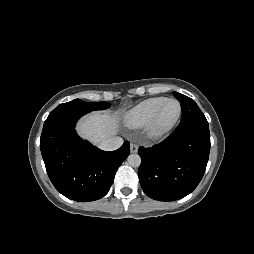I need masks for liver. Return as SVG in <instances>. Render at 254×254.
<instances>
[{
  "label": "liver",
  "mask_w": 254,
  "mask_h": 254,
  "mask_svg": "<svg viewBox=\"0 0 254 254\" xmlns=\"http://www.w3.org/2000/svg\"><path fill=\"white\" fill-rule=\"evenodd\" d=\"M118 129V116L100 112L85 116L77 125L79 135L96 145L114 136Z\"/></svg>",
  "instance_id": "1"
}]
</instances>
